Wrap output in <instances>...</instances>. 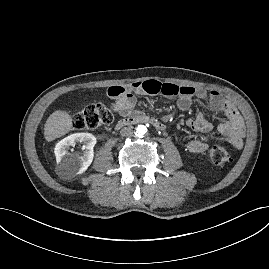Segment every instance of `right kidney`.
Listing matches in <instances>:
<instances>
[{
    "label": "right kidney",
    "instance_id": "obj_1",
    "mask_svg": "<svg viewBox=\"0 0 269 269\" xmlns=\"http://www.w3.org/2000/svg\"><path fill=\"white\" fill-rule=\"evenodd\" d=\"M83 143V153H69L70 146ZM96 138L90 133H75L62 139L55 146V155L60 170L64 175H75L85 172L91 165L94 157L93 147Z\"/></svg>",
    "mask_w": 269,
    "mask_h": 269
}]
</instances>
